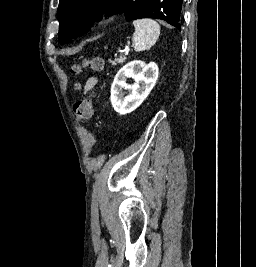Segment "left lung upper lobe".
<instances>
[{
	"instance_id": "5c2ea615",
	"label": "left lung upper lobe",
	"mask_w": 256,
	"mask_h": 267,
	"mask_svg": "<svg viewBox=\"0 0 256 267\" xmlns=\"http://www.w3.org/2000/svg\"><path fill=\"white\" fill-rule=\"evenodd\" d=\"M124 11L128 21L156 18L175 27V0H59V41L65 44L90 28L93 17L103 10Z\"/></svg>"
}]
</instances>
